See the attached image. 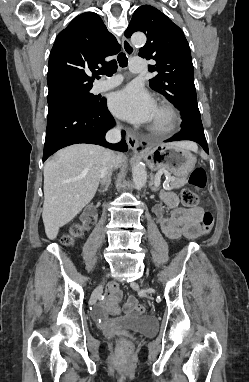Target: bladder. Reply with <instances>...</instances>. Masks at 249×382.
Segmentation results:
<instances>
[{
    "label": "bladder",
    "mask_w": 249,
    "mask_h": 382,
    "mask_svg": "<svg viewBox=\"0 0 249 382\" xmlns=\"http://www.w3.org/2000/svg\"><path fill=\"white\" fill-rule=\"evenodd\" d=\"M117 323L124 330L135 331L145 335L153 334L157 329L156 320L148 315L123 317Z\"/></svg>",
    "instance_id": "obj_1"
}]
</instances>
